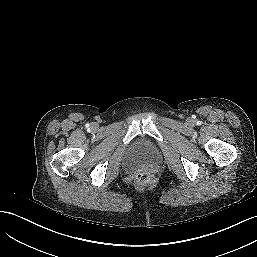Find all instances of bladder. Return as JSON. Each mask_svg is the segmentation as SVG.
Instances as JSON below:
<instances>
[{
    "instance_id": "1",
    "label": "bladder",
    "mask_w": 257,
    "mask_h": 257,
    "mask_svg": "<svg viewBox=\"0 0 257 257\" xmlns=\"http://www.w3.org/2000/svg\"><path fill=\"white\" fill-rule=\"evenodd\" d=\"M158 154L156 145L147 137H138L130 146L128 158L133 163L153 162Z\"/></svg>"
}]
</instances>
